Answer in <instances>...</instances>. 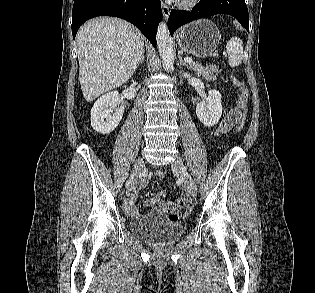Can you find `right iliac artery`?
<instances>
[{
    "label": "right iliac artery",
    "instance_id": "1",
    "mask_svg": "<svg viewBox=\"0 0 315 293\" xmlns=\"http://www.w3.org/2000/svg\"><path fill=\"white\" fill-rule=\"evenodd\" d=\"M130 184V180L127 181L126 186L128 187Z\"/></svg>",
    "mask_w": 315,
    "mask_h": 293
}]
</instances>
